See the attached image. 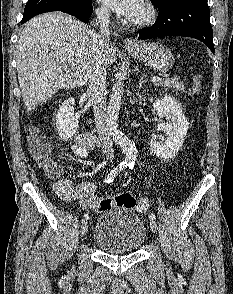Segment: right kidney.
I'll return each mask as SVG.
<instances>
[{"label": "right kidney", "mask_w": 233, "mask_h": 294, "mask_svg": "<svg viewBox=\"0 0 233 294\" xmlns=\"http://www.w3.org/2000/svg\"><path fill=\"white\" fill-rule=\"evenodd\" d=\"M75 99L73 97L65 100L59 106L56 115V130L62 139H70L78 129V120L74 116Z\"/></svg>", "instance_id": "right-kidney-1"}]
</instances>
